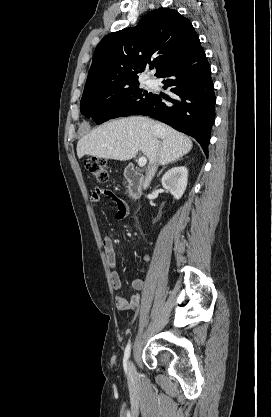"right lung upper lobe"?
I'll list each match as a JSON object with an SVG mask.
<instances>
[{
	"mask_svg": "<svg viewBox=\"0 0 272 417\" xmlns=\"http://www.w3.org/2000/svg\"><path fill=\"white\" fill-rule=\"evenodd\" d=\"M200 43L192 24L176 10L158 9L137 26L106 35L97 45L83 94L108 93L139 84L146 65L159 76Z\"/></svg>",
	"mask_w": 272,
	"mask_h": 417,
	"instance_id": "1",
	"label": "right lung upper lobe"
}]
</instances>
